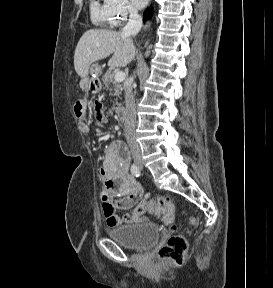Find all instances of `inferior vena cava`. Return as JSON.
<instances>
[{
  "mask_svg": "<svg viewBox=\"0 0 273 288\" xmlns=\"http://www.w3.org/2000/svg\"><path fill=\"white\" fill-rule=\"evenodd\" d=\"M142 27V18L137 9H129V21L122 29V36H135ZM134 78L131 76L127 79L125 85V114H124V131L127 143L132 154L140 153V147L136 137V106L133 95Z\"/></svg>",
  "mask_w": 273,
  "mask_h": 288,
  "instance_id": "obj_1",
  "label": "inferior vena cava"
}]
</instances>
